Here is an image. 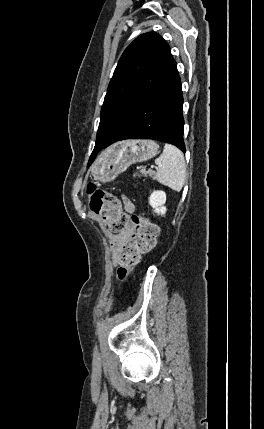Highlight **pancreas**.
Returning <instances> with one entry per match:
<instances>
[{"label": "pancreas", "mask_w": 264, "mask_h": 429, "mask_svg": "<svg viewBox=\"0 0 264 429\" xmlns=\"http://www.w3.org/2000/svg\"><path fill=\"white\" fill-rule=\"evenodd\" d=\"M154 175H155L154 171H152V170L146 171L145 169H142L140 171V174H138V173L134 174V176H138V177H140V176L148 177L149 176V177H151L153 179H154Z\"/></svg>", "instance_id": "pancreas-1"}]
</instances>
